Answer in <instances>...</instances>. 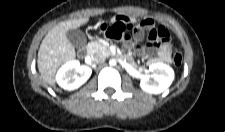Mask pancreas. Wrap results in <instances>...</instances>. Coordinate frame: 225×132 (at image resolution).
<instances>
[{
  "instance_id": "pancreas-1",
  "label": "pancreas",
  "mask_w": 225,
  "mask_h": 132,
  "mask_svg": "<svg viewBox=\"0 0 225 132\" xmlns=\"http://www.w3.org/2000/svg\"><path fill=\"white\" fill-rule=\"evenodd\" d=\"M87 49L93 55L98 54L104 57L112 55L109 44L103 39L90 42Z\"/></svg>"
}]
</instances>
